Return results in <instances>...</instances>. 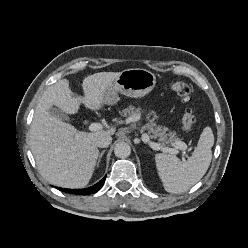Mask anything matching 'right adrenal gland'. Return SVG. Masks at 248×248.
<instances>
[{
    "label": "right adrenal gland",
    "mask_w": 248,
    "mask_h": 248,
    "mask_svg": "<svg viewBox=\"0 0 248 248\" xmlns=\"http://www.w3.org/2000/svg\"><path fill=\"white\" fill-rule=\"evenodd\" d=\"M104 153H105V150H103V151L100 153L99 158H98V161H97V167L99 166V163H100L101 158H102V156L104 155Z\"/></svg>",
    "instance_id": "right-adrenal-gland-1"
}]
</instances>
